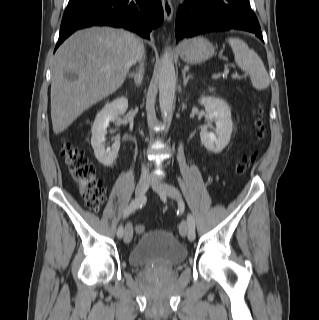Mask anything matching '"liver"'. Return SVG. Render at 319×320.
Masks as SVG:
<instances>
[{"instance_id": "6515ba94", "label": "liver", "mask_w": 319, "mask_h": 320, "mask_svg": "<svg viewBox=\"0 0 319 320\" xmlns=\"http://www.w3.org/2000/svg\"><path fill=\"white\" fill-rule=\"evenodd\" d=\"M138 43L134 34L112 27L79 30L64 41L52 64L51 119L56 135L122 86ZM67 73L76 79H68Z\"/></svg>"}]
</instances>
